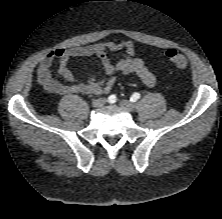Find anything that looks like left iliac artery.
<instances>
[{
    "label": "left iliac artery",
    "mask_w": 222,
    "mask_h": 219,
    "mask_svg": "<svg viewBox=\"0 0 222 219\" xmlns=\"http://www.w3.org/2000/svg\"><path fill=\"white\" fill-rule=\"evenodd\" d=\"M140 98V94L139 93H134L131 97V101L135 102L136 100H138Z\"/></svg>",
    "instance_id": "left-iliac-artery-1"
}]
</instances>
